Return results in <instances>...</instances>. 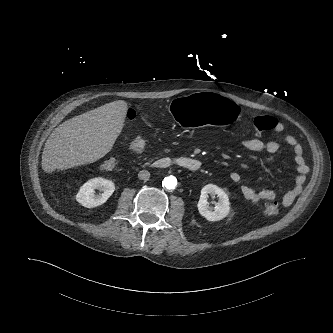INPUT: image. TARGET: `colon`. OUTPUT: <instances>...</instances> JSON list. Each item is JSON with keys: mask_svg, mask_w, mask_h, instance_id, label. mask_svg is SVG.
Masks as SVG:
<instances>
[{"mask_svg": "<svg viewBox=\"0 0 333 333\" xmlns=\"http://www.w3.org/2000/svg\"><path fill=\"white\" fill-rule=\"evenodd\" d=\"M136 117V112L133 109H129L128 118L134 120ZM277 121L271 116L260 115L254 117L250 121L251 128L256 132V134H262L268 130L275 127ZM120 165V160L116 156H111L106 159L101 164V169L105 171H113L117 169ZM263 212L267 216H275L279 213V206L277 202L268 203L265 205Z\"/></svg>", "mask_w": 333, "mask_h": 333, "instance_id": "1", "label": "colon"}]
</instances>
